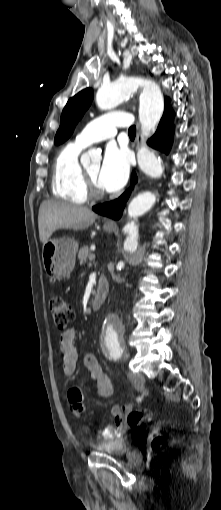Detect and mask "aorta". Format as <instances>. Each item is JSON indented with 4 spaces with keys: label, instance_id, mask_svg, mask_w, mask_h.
Here are the masks:
<instances>
[{
    "label": "aorta",
    "instance_id": "obj_1",
    "mask_svg": "<svg viewBox=\"0 0 221 510\" xmlns=\"http://www.w3.org/2000/svg\"><path fill=\"white\" fill-rule=\"evenodd\" d=\"M138 87H142L139 105V121L143 135L154 131L161 119L164 110V99L159 86L147 79L139 77H124L99 88L96 95L97 106L101 110H110L122 103L133 94ZM99 158L96 150H89L82 157L83 164H88L92 159ZM140 169L152 178L162 176L164 168L156 155L142 146L137 153ZM156 201L155 195L145 191L135 196L128 206V216L133 219L149 211ZM127 237L124 241V250L134 253L138 247L139 229L134 221L125 225ZM122 325L113 314H107L103 319L101 346L105 350L119 348L122 345Z\"/></svg>",
    "mask_w": 221,
    "mask_h": 510
}]
</instances>
